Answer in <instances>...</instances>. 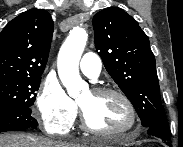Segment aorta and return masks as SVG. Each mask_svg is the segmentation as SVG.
<instances>
[{"mask_svg": "<svg viewBox=\"0 0 183 147\" xmlns=\"http://www.w3.org/2000/svg\"><path fill=\"white\" fill-rule=\"evenodd\" d=\"M88 34L83 28H74L60 48L57 60L58 74L67 93L77 98L88 84L79 74V61L86 46Z\"/></svg>", "mask_w": 183, "mask_h": 147, "instance_id": "aorta-1", "label": "aorta"}]
</instances>
